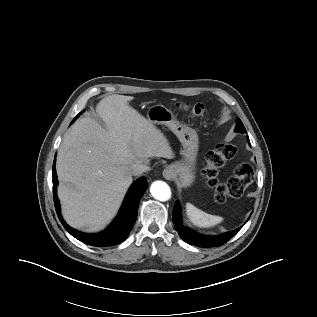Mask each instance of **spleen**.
<instances>
[{"label":"spleen","instance_id":"spleen-1","mask_svg":"<svg viewBox=\"0 0 317 317\" xmlns=\"http://www.w3.org/2000/svg\"><path fill=\"white\" fill-rule=\"evenodd\" d=\"M186 214L190 222L200 228L213 227L223 221L222 217L208 214L191 203H186Z\"/></svg>","mask_w":317,"mask_h":317}]
</instances>
